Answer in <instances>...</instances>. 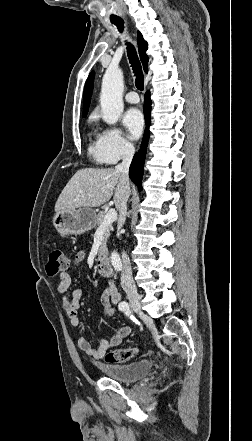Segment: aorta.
Returning a JSON list of instances; mask_svg holds the SVG:
<instances>
[{"instance_id":"1","label":"aorta","mask_w":252,"mask_h":441,"mask_svg":"<svg viewBox=\"0 0 252 441\" xmlns=\"http://www.w3.org/2000/svg\"><path fill=\"white\" fill-rule=\"evenodd\" d=\"M123 72L119 68H108L103 76L100 104L102 119L107 124L117 123L123 112ZM111 263L115 270L122 269V261L116 251L111 253Z\"/></svg>"}]
</instances>
